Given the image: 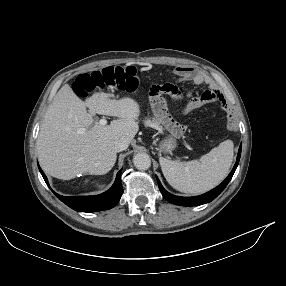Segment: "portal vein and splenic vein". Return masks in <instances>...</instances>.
<instances>
[{"instance_id": "portal-vein-and-splenic-vein-1", "label": "portal vein and splenic vein", "mask_w": 286, "mask_h": 286, "mask_svg": "<svg viewBox=\"0 0 286 286\" xmlns=\"http://www.w3.org/2000/svg\"><path fill=\"white\" fill-rule=\"evenodd\" d=\"M99 124L102 126H105L107 124V120L106 119H100Z\"/></svg>"}]
</instances>
